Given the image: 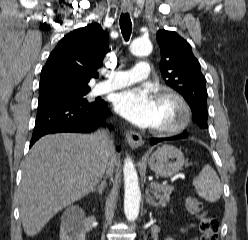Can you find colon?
I'll return each instance as SVG.
<instances>
[{
    "instance_id": "1",
    "label": "colon",
    "mask_w": 248,
    "mask_h": 240,
    "mask_svg": "<svg viewBox=\"0 0 248 240\" xmlns=\"http://www.w3.org/2000/svg\"><path fill=\"white\" fill-rule=\"evenodd\" d=\"M187 210L200 219V240H218L219 222L210 217L204 210L202 204L194 197H188L185 202Z\"/></svg>"
}]
</instances>
